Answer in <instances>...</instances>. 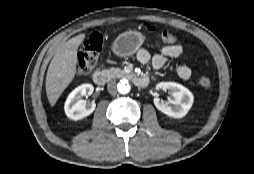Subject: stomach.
<instances>
[{
  "label": "stomach",
  "instance_id": "obj_1",
  "mask_svg": "<svg viewBox=\"0 0 254 174\" xmlns=\"http://www.w3.org/2000/svg\"><path fill=\"white\" fill-rule=\"evenodd\" d=\"M145 36L138 31H126L117 36L112 44V51L119 57H128L143 45Z\"/></svg>",
  "mask_w": 254,
  "mask_h": 174
}]
</instances>
